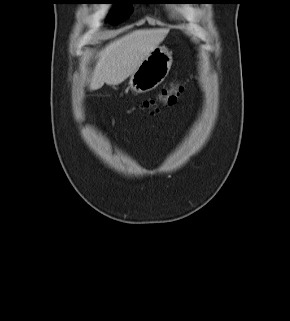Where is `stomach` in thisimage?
I'll use <instances>...</instances> for the list:
<instances>
[{
	"instance_id": "1",
	"label": "stomach",
	"mask_w": 290,
	"mask_h": 321,
	"mask_svg": "<svg viewBox=\"0 0 290 321\" xmlns=\"http://www.w3.org/2000/svg\"><path fill=\"white\" fill-rule=\"evenodd\" d=\"M172 57L165 47H156L130 75L129 85L136 93H146L161 84L169 73Z\"/></svg>"
}]
</instances>
